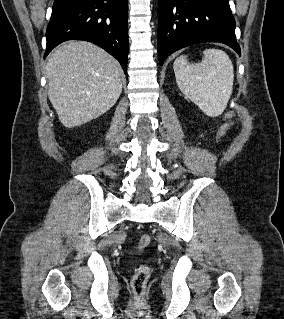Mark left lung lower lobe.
<instances>
[{"instance_id":"left-lung-lower-lobe-1","label":"left lung lower lobe","mask_w":284,"mask_h":319,"mask_svg":"<svg viewBox=\"0 0 284 319\" xmlns=\"http://www.w3.org/2000/svg\"><path fill=\"white\" fill-rule=\"evenodd\" d=\"M229 0H158L160 65L173 52L201 42H220L241 55Z\"/></svg>"}]
</instances>
